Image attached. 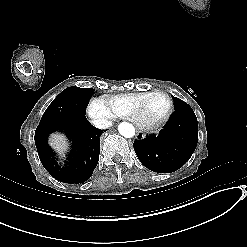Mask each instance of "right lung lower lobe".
I'll use <instances>...</instances> for the list:
<instances>
[{"label": "right lung lower lobe", "instance_id": "1", "mask_svg": "<svg viewBox=\"0 0 247 247\" xmlns=\"http://www.w3.org/2000/svg\"><path fill=\"white\" fill-rule=\"evenodd\" d=\"M55 131L64 132L72 140V149L63 166L58 164L55 153L47 143L49 134ZM102 133L103 130L91 125L85 116L59 117L40 122L35 131V145L43 167L58 181L84 183L97 166Z\"/></svg>", "mask_w": 247, "mask_h": 247}]
</instances>
